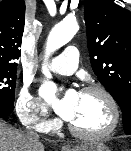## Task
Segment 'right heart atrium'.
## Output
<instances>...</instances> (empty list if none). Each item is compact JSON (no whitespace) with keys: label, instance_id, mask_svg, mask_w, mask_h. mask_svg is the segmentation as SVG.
<instances>
[{"label":"right heart atrium","instance_id":"d8ad5b80","mask_svg":"<svg viewBox=\"0 0 131 151\" xmlns=\"http://www.w3.org/2000/svg\"><path fill=\"white\" fill-rule=\"evenodd\" d=\"M16 111L20 120L32 128L45 131L53 126L46 105L31 93L28 85L18 94Z\"/></svg>","mask_w":131,"mask_h":151}]
</instances>
